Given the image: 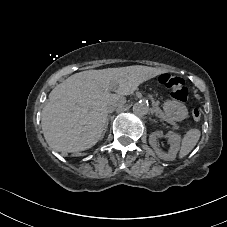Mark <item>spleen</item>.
Wrapping results in <instances>:
<instances>
[{"label":"spleen","mask_w":227,"mask_h":227,"mask_svg":"<svg viewBox=\"0 0 227 227\" xmlns=\"http://www.w3.org/2000/svg\"><path fill=\"white\" fill-rule=\"evenodd\" d=\"M201 136L199 129H189L181 140V146L178 153V158L183 159L186 157L196 146Z\"/></svg>","instance_id":"spleen-1"}]
</instances>
